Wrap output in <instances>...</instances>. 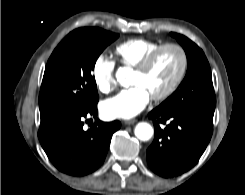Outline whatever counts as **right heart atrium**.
<instances>
[{
  "instance_id": "1",
  "label": "right heart atrium",
  "mask_w": 245,
  "mask_h": 195,
  "mask_svg": "<svg viewBox=\"0 0 245 195\" xmlns=\"http://www.w3.org/2000/svg\"><path fill=\"white\" fill-rule=\"evenodd\" d=\"M115 63L104 55H99L91 69L93 82L99 92L108 94L116 87L114 79Z\"/></svg>"
}]
</instances>
